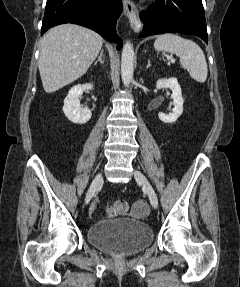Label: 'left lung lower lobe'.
<instances>
[{
  "mask_svg": "<svg viewBox=\"0 0 240 287\" xmlns=\"http://www.w3.org/2000/svg\"><path fill=\"white\" fill-rule=\"evenodd\" d=\"M140 18L144 27L139 37L179 32L196 35L208 42L202 0H157L141 13Z\"/></svg>",
  "mask_w": 240,
  "mask_h": 287,
  "instance_id": "1",
  "label": "left lung lower lobe"
}]
</instances>
